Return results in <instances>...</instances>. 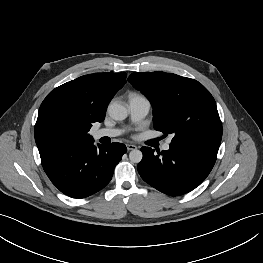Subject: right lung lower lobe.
<instances>
[{"instance_id": "98d812e1", "label": "right lung lower lobe", "mask_w": 263, "mask_h": 263, "mask_svg": "<svg viewBox=\"0 0 263 263\" xmlns=\"http://www.w3.org/2000/svg\"><path fill=\"white\" fill-rule=\"evenodd\" d=\"M126 151L121 143L97 148L91 140L66 148L42 166L62 193L72 198H85L110 182L115 166Z\"/></svg>"}]
</instances>
